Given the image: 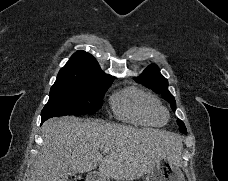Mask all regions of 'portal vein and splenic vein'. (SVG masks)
<instances>
[{"mask_svg":"<svg viewBox=\"0 0 228 181\" xmlns=\"http://www.w3.org/2000/svg\"><path fill=\"white\" fill-rule=\"evenodd\" d=\"M103 153H105V151H102L101 155H103Z\"/></svg>","mask_w":228,"mask_h":181,"instance_id":"1","label":"portal vein and splenic vein"}]
</instances>
